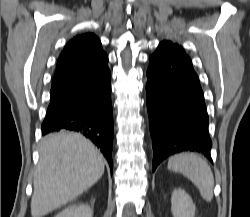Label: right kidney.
Listing matches in <instances>:
<instances>
[{"instance_id": "right-kidney-1", "label": "right kidney", "mask_w": 250, "mask_h": 217, "mask_svg": "<svg viewBox=\"0 0 250 217\" xmlns=\"http://www.w3.org/2000/svg\"><path fill=\"white\" fill-rule=\"evenodd\" d=\"M93 212L87 204H73L61 212L55 217H92Z\"/></svg>"}]
</instances>
